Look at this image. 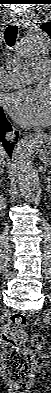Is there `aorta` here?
Masks as SVG:
<instances>
[{
	"label": "aorta",
	"mask_w": 51,
	"mask_h": 393,
	"mask_svg": "<svg viewBox=\"0 0 51 393\" xmlns=\"http://www.w3.org/2000/svg\"><path fill=\"white\" fill-rule=\"evenodd\" d=\"M18 54L23 58L46 55L50 51V38L46 32L36 30L27 33L20 40ZM43 143L41 136H29L19 141L13 150L12 167L16 182L28 201L37 200V185L31 156L37 146Z\"/></svg>",
	"instance_id": "1"
}]
</instances>
